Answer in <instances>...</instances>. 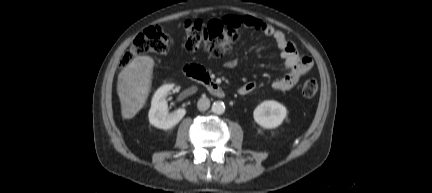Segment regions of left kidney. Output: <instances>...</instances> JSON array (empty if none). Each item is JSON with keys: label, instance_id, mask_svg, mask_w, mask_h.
<instances>
[{"label": "left kidney", "instance_id": "left-kidney-1", "mask_svg": "<svg viewBox=\"0 0 432 193\" xmlns=\"http://www.w3.org/2000/svg\"><path fill=\"white\" fill-rule=\"evenodd\" d=\"M287 114L285 106L274 100H267L259 104L254 112L253 117L257 124L266 129L278 127Z\"/></svg>", "mask_w": 432, "mask_h": 193}]
</instances>
